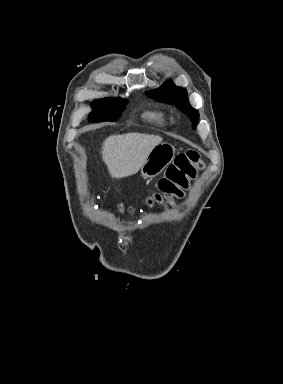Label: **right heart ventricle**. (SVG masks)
I'll list each match as a JSON object with an SVG mask.
<instances>
[{
	"instance_id": "obj_1",
	"label": "right heart ventricle",
	"mask_w": 283,
	"mask_h": 384,
	"mask_svg": "<svg viewBox=\"0 0 283 384\" xmlns=\"http://www.w3.org/2000/svg\"><path fill=\"white\" fill-rule=\"evenodd\" d=\"M145 116L150 121L162 125L166 121V113L159 107L151 108L145 112Z\"/></svg>"
}]
</instances>
